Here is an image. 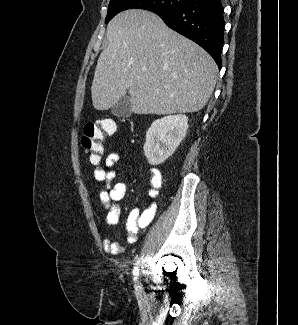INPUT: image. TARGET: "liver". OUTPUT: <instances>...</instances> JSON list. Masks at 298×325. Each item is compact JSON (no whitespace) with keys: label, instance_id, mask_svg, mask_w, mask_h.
Here are the masks:
<instances>
[{"label":"liver","instance_id":"1","mask_svg":"<svg viewBox=\"0 0 298 325\" xmlns=\"http://www.w3.org/2000/svg\"><path fill=\"white\" fill-rule=\"evenodd\" d=\"M106 36L91 84L96 110H108L127 92L136 114L197 112L207 104L216 84L215 60L160 16L123 10L108 22Z\"/></svg>","mask_w":298,"mask_h":325}]
</instances>
